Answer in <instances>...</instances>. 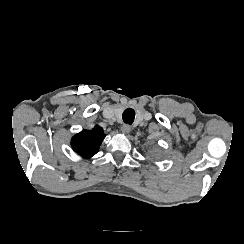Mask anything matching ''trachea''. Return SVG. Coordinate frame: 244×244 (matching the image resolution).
I'll list each match as a JSON object with an SVG mask.
<instances>
[{
    "mask_svg": "<svg viewBox=\"0 0 244 244\" xmlns=\"http://www.w3.org/2000/svg\"><path fill=\"white\" fill-rule=\"evenodd\" d=\"M122 119L126 124L131 125L135 119V111L132 108L126 109L122 114Z\"/></svg>",
    "mask_w": 244,
    "mask_h": 244,
    "instance_id": "obj_1",
    "label": "trachea"
}]
</instances>
